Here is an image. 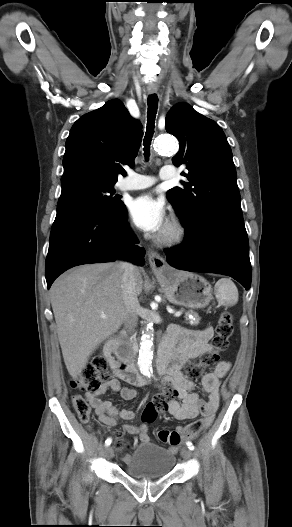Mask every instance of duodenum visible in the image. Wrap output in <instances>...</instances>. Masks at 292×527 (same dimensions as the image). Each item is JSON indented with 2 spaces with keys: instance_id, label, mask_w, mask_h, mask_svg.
<instances>
[{
  "instance_id": "410a0bca",
  "label": "duodenum",
  "mask_w": 292,
  "mask_h": 527,
  "mask_svg": "<svg viewBox=\"0 0 292 527\" xmlns=\"http://www.w3.org/2000/svg\"><path fill=\"white\" fill-rule=\"evenodd\" d=\"M106 353L110 359L115 373L119 374L125 381L141 386L147 380L136 370L134 364L122 353L121 342L118 338L111 339L106 345ZM171 357V351L165 341L161 344L156 360L155 368L158 375L167 372Z\"/></svg>"
}]
</instances>
